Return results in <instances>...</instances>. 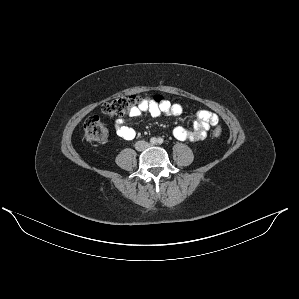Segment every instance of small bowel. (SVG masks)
Wrapping results in <instances>:
<instances>
[{
	"mask_svg": "<svg viewBox=\"0 0 299 299\" xmlns=\"http://www.w3.org/2000/svg\"><path fill=\"white\" fill-rule=\"evenodd\" d=\"M184 112L182 105L172 103L168 100L149 101L140 107L134 108L129 117L137 118L143 113H148L153 117H158L161 114L171 116H181ZM196 119L192 129H187L182 126H177L173 129V136L178 140H186L190 142H197L203 140L208 130L211 127H216L219 123L217 114L208 110H199L195 114ZM116 133L119 137L132 140L137 136V131L128 124L126 118H119L115 123Z\"/></svg>",
	"mask_w": 299,
	"mask_h": 299,
	"instance_id": "1",
	"label": "small bowel"
}]
</instances>
